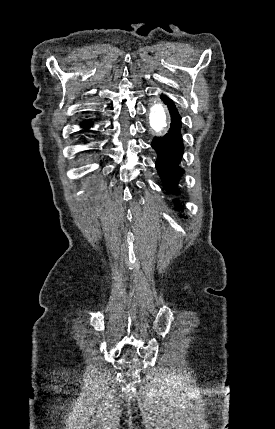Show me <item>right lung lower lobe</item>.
I'll return each instance as SVG.
<instances>
[{
    "label": "right lung lower lobe",
    "instance_id": "obj_1",
    "mask_svg": "<svg viewBox=\"0 0 275 429\" xmlns=\"http://www.w3.org/2000/svg\"><path fill=\"white\" fill-rule=\"evenodd\" d=\"M91 126V123L88 121L83 122V127L84 128H89Z\"/></svg>",
    "mask_w": 275,
    "mask_h": 429
}]
</instances>
